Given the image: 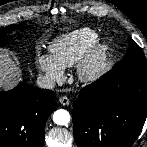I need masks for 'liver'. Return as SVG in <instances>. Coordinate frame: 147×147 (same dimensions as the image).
Returning <instances> with one entry per match:
<instances>
[{
    "label": "liver",
    "mask_w": 147,
    "mask_h": 147,
    "mask_svg": "<svg viewBox=\"0 0 147 147\" xmlns=\"http://www.w3.org/2000/svg\"><path fill=\"white\" fill-rule=\"evenodd\" d=\"M20 80L21 70L7 52L0 50V90L2 88H11Z\"/></svg>",
    "instance_id": "obj_1"
}]
</instances>
